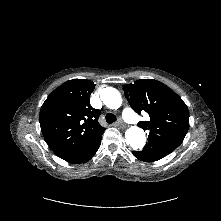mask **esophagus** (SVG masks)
Here are the masks:
<instances>
[{
  "label": "esophagus",
  "instance_id": "1",
  "mask_svg": "<svg viewBox=\"0 0 221 221\" xmlns=\"http://www.w3.org/2000/svg\"><path fill=\"white\" fill-rule=\"evenodd\" d=\"M117 125H118L120 128H125V127H126L125 123H124L121 119L118 120Z\"/></svg>",
  "mask_w": 221,
  "mask_h": 221
}]
</instances>
